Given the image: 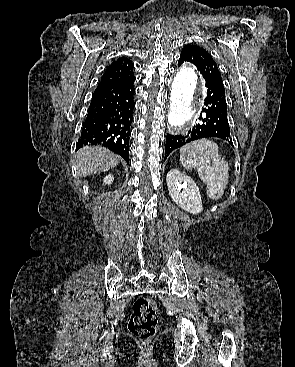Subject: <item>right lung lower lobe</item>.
I'll use <instances>...</instances> for the list:
<instances>
[{"instance_id":"obj_1","label":"right lung lower lobe","mask_w":295,"mask_h":367,"mask_svg":"<svg viewBox=\"0 0 295 367\" xmlns=\"http://www.w3.org/2000/svg\"><path fill=\"white\" fill-rule=\"evenodd\" d=\"M133 83L134 80L118 84L99 83L76 150L86 145H102L129 162L130 126L135 106Z\"/></svg>"}]
</instances>
